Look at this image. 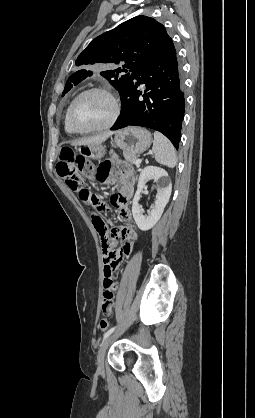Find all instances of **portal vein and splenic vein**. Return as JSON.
<instances>
[{"label": "portal vein and splenic vein", "instance_id": "18ae733b", "mask_svg": "<svg viewBox=\"0 0 255 418\" xmlns=\"http://www.w3.org/2000/svg\"><path fill=\"white\" fill-rule=\"evenodd\" d=\"M140 163H141V159H137V160L134 161L135 165H139Z\"/></svg>", "mask_w": 255, "mask_h": 418}]
</instances>
